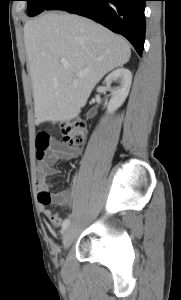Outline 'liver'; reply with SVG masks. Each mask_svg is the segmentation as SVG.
<instances>
[{"label":"liver","mask_w":181,"mask_h":300,"mask_svg":"<svg viewBox=\"0 0 181 300\" xmlns=\"http://www.w3.org/2000/svg\"><path fill=\"white\" fill-rule=\"evenodd\" d=\"M24 41L36 125L76 118L102 77L131 56L123 37L90 19L62 12H47L26 22ZM82 71L86 74L78 75Z\"/></svg>","instance_id":"6515ba94"}]
</instances>
